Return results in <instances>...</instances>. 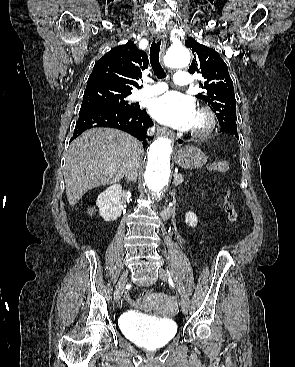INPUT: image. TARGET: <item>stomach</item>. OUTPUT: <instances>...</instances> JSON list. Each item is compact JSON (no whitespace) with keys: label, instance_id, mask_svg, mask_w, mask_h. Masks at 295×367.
<instances>
[{"label":"stomach","instance_id":"0dacf381","mask_svg":"<svg viewBox=\"0 0 295 367\" xmlns=\"http://www.w3.org/2000/svg\"><path fill=\"white\" fill-rule=\"evenodd\" d=\"M208 157L195 146H184L174 154L175 162L184 169H198L203 167Z\"/></svg>","mask_w":295,"mask_h":367}]
</instances>
